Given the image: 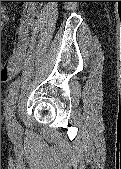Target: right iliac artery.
I'll list each match as a JSON object with an SVG mask.
<instances>
[{
    "mask_svg": "<svg viewBox=\"0 0 121 169\" xmlns=\"http://www.w3.org/2000/svg\"><path fill=\"white\" fill-rule=\"evenodd\" d=\"M20 82L15 81L12 87L10 88L6 108H5V117L8 122V126L11 127L15 122V108H16V99L19 91Z\"/></svg>",
    "mask_w": 121,
    "mask_h": 169,
    "instance_id": "1",
    "label": "right iliac artery"
}]
</instances>
